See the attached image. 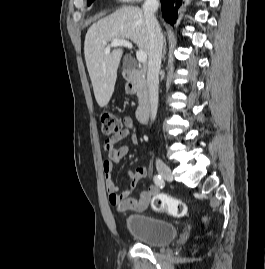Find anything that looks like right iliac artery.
Returning a JSON list of instances; mask_svg holds the SVG:
<instances>
[{"label": "right iliac artery", "mask_w": 265, "mask_h": 269, "mask_svg": "<svg viewBox=\"0 0 265 269\" xmlns=\"http://www.w3.org/2000/svg\"><path fill=\"white\" fill-rule=\"evenodd\" d=\"M154 183L159 187V188H163L165 183L163 178L160 175H155L154 178Z\"/></svg>", "instance_id": "obj_1"}]
</instances>
